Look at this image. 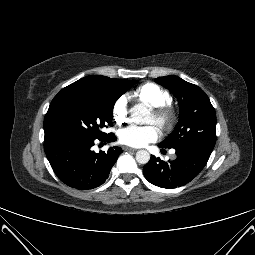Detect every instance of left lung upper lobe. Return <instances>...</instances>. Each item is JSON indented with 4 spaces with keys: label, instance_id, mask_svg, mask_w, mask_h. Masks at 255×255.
<instances>
[{
    "label": "left lung upper lobe",
    "instance_id": "1",
    "mask_svg": "<svg viewBox=\"0 0 255 255\" xmlns=\"http://www.w3.org/2000/svg\"><path fill=\"white\" fill-rule=\"evenodd\" d=\"M155 81L169 89L180 106L179 122L160 145L211 153L216 142V114L206 93L174 75L158 77Z\"/></svg>",
    "mask_w": 255,
    "mask_h": 255
}]
</instances>
